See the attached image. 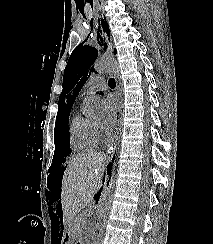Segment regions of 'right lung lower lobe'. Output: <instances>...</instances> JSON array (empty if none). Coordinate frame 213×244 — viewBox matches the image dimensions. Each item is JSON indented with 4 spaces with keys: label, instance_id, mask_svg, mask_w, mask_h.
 <instances>
[{
    "label": "right lung lower lobe",
    "instance_id": "98d812e1",
    "mask_svg": "<svg viewBox=\"0 0 213 244\" xmlns=\"http://www.w3.org/2000/svg\"><path fill=\"white\" fill-rule=\"evenodd\" d=\"M112 161H114V158L112 159ZM111 167H112V165H111V163L108 165V169H107V173L109 174V175H111Z\"/></svg>",
    "mask_w": 213,
    "mask_h": 244
}]
</instances>
